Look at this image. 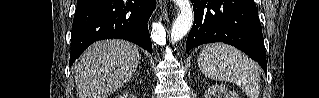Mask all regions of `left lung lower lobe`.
Segmentation results:
<instances>
[{"instance_id": "obj_1", "label": "left lung lower lobe", "mask_w": 319, "mask_h": 98, "mask_svg": "<svg viewBox=\"0 0 319 98\" xmlns=\"http://www.w3.org/2000/svg\"><path fill=\"white\" fill-rule=\"evenodd\" d=\"M194 24L186 51L205 43L233 45L256 60L267 74L264 40L254 0H193Z\"/></svg>"}]
</instances>
